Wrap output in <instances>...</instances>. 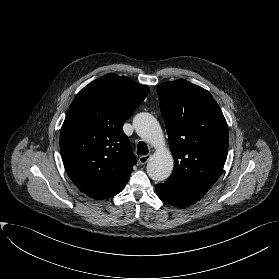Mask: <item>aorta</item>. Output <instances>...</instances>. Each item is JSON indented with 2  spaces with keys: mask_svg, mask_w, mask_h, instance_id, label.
<instances>
[{
  "mask_svg": "<svg viewBox=\"0 0 279 279\" xmlns=\"http://www.w3.org/2000/svg\"><path fill=\"white\" fill-rule=\"evenodd\" d=\"M133 125L136 133L156 148L147 164L149 177L157 182L166 180L172 173L174 160L171 152L165 147L159 122L150 113H139L134 117Z\"/></svg>",
  "mask_w": 279,
  "mask_h": 279,
  "instance_id": "obj_1",
  "label": "aorta"
}]
</instances>
